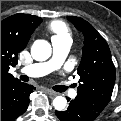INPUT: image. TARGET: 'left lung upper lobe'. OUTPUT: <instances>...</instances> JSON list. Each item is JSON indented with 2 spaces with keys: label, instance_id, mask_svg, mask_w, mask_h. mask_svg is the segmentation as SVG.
Wrapping results in <instances>:
<instances>
[{
  "label": "left lung upper lobe",
  "instance_id": "5c2ea615",
  "mask_svg": "<svg viewBox=\"0 0 121 121\" xmlns=\"http://www.w3.org/2000/svg\"><path fill=\"white\" fill-rule=\"evenodd\" d=\"M68 20L84 35L81 63L78 67L80 84L74 99L90 109L101 112L109 103L115 83V67L105 39L80 17Z\"/></svg>",
  "mask_w": 121,
  "mask_h": 121
}]
</instances>
